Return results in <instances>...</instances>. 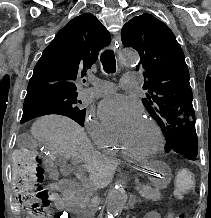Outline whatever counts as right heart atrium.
<instances>
[{"label":"right heart atrium","instance_id":"obj_1","mask_svg":"<svg viewBox=\"0 0 211 218\" xmlns=\"http://www.w3.org/2000/svg\"><path fill=\"white\" fill-rule=\"evenodd\" d=\"M86 127L96 146L103 148L114 141L112 135L98 122V120L92 114L87 115Z\"/></svg>","mask_w":211,"mask_h":218}]
</instances>
